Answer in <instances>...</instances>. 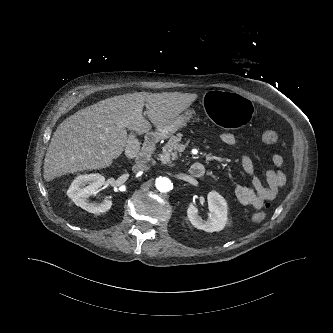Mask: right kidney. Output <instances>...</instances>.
I'll use <instances>...</instances> for the list:
<instances>
[{
  "instance_id": "right-kidney-1",
  "label": "right kidney",
  "mask_w": 333,
  "mask_h": 333,
  "mask_svg": "<svg viewBox=\"0 0 333 333\" xmlns=\"http://www.w3.org/2000/svg\"><path fill=\"white\" fill-rule=\"evenodd\" d=\"M105 183V177L101 174L80 175L71 183L67 195L72 201L82 209L100 214L108 211L112 206V201L104 199L101 203H89L88 198L95 193ZM88 184V185H87ZM87 185V186H86Z\"/></svg>"
}]
</instances>
